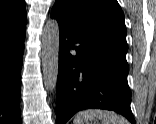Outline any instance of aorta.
Listing matches in <instances>:
<instances>
[{"instance_id":"1","label":"aorta","mask_w":156,"mask_h":124,"mask_svg":"<svg viewBox=\"0 0 156 124\" xmlns=\"http://www.w3.org/2000/svg\"><path fill=\"white\" fill-rule=\"evenodd\" d=\"M59 65V24L49 20L42 33V72L44 86L53 91L57 84Z\"/></svg>"}]
</instances>
